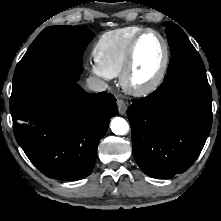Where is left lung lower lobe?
Instances as JSON below:
<instances>
[{
  "label": "left lung lower lobe",
  "instance_id": "obj_1",
  "mask_svg": "<svg viewBox=\"0 0 221 221\" xmlns=\"http://www.w3.org/2000/svg\"><path fill=\"white\" fill-rule=\"evenodd\" d=\"M127 111L133 156L148 176L170 178L197 159L212 125L208 80L174 77L149 96L132 100Z\"/></svg>",
  "mask_w": 221,
  "mask_h": 221
}]
</instances>
